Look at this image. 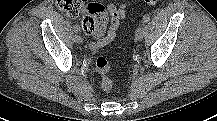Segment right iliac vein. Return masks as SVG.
Returning a JSON list of instances; mask_svg holds the SVG:
<instances>
[{"label": "right iliac vein", "mask_w": 217, "mask_h": 121, "mask_svg": "<svg viewBox=\"0 0 217 121\" xmlns=\"http://www.w3.org/2000/svg\"><path fill=\"white\" fill-rule=\"evenodd\" d=\"M74 39L75 41L78 43V44H82L83 43V39L80 35H75L74 36Z\"/></svg>", "instance_id": "obj_1"}]
</instances>
